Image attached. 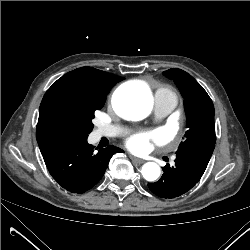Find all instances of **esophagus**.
Here are the masks:
<instances>
[{
	"instance_id": "esophagus-1",
	"label": "esophagus",
	"mask_w": 250,
	"mask_h": 250,
	"mask_svg": "<svg viewBox=\"0 0 250 250\" xmlns=\"http://www.w3.org/2000/svg\"><path fill=\"white\" fill-rule=\"evenodd\" d=\"M130 158L132 159V161H133L135 164H142V163H144V160L139 159V158H137V157L130 156Z\"/></svg>"
}]
</instances>
